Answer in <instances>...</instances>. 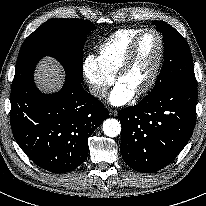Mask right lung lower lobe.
<instances>
[{
  "label": "right lung lower lobe",
  "mask_w": 206,
  "mask_h": 206,
  "mask_svg": "<svg viewBox=\"0 0 206 206\" xmlns=\"http://www.w3.org/2000/svg\"><path fill=\"white\" fill-rule=\"evenodd\" d=\"M11 128L16 142L39 167L65 173L87 157L88 137L109 116L81 82L66 75L55 94L41 93L33 76L10 94Z\"/></svg>",
  "instance_id": "98d812e1"
}]
</instances>
